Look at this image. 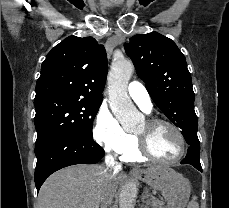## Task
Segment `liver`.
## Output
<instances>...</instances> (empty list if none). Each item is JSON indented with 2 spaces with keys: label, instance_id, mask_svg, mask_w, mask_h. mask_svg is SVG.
Instances as JSON below:
<instances>
[{
  "label": "liver",
  "instance_id": "6515ba94",
  "mask_svg": "<svg viewBox=\"0 0 229 208\" xmlns=\"http://www.w3.org/2000/svg\"><path fill=\"white\" fill-rule=\"evenodd\" d=\"M103 166H69L52 174L44 182L35 208H99L102 188L108 184L110 192L108 204H111L117 186L125 180V174H116L115 178L107 180ZM172 170L170 166H151L146 172ZM138 174L139 170H133ZM144 172V170H141ZM173 174H176L172 170ZM107 180V182H106Z\"/></svg>",
  "mask_w": 229,
  "mask_h": 208
}]
</instances>
